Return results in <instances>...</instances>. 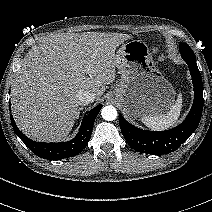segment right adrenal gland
<instances>
[{
    "label": "right adrenal gland",
    "instance_id": "obj_1",
    "mask_svg": "<svg viewBox=\"0 0 212 212\" xmlns=\"http://www.w3.org/2000/svg\"><path fill=\"white\" fill-rule=\"evenodd\" d=\"M81 109H82V108H79V109H78V115H79Z\"/></svg>",
    "mask_w": 212,
    "mask_h": 212
}]
</instances>
